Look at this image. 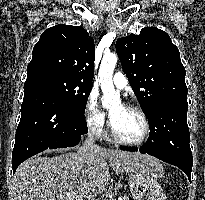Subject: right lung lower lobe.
Instances as JSON below:
<instances>
[{
    "label": "right lung lower lobe",
    "instance_id": "obj_1",
    "mask_svg": "<svg viewBox=\"0 0 205 200\" xmlns=\"http://www.w3.org/2000/svg\"><path fill=\"white\" fill-rule=\"evenodd\" d=\"M86 133L84 113L69 107L44 88H24L12 152L13 173L27 158L46 149L75 146Z\"/></svg>",
    "mask_w": 205,
    "mask_h": 200
}]
</instances>
